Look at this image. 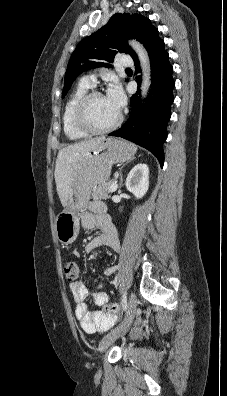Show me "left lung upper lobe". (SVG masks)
I'll use <instances>...</instances> for the list:
<instances>
[{
	"mask_svg": "<svg viewBox=\"0 0 227 396\" xmlns=\"http://www.w3.org/2000/svg\"><path fill=\"white\" fill-rule=\"evenodd\" d=\"M128 38L140 41L147 49L151 42L159 39L158 29L140 14H114L105 26L77 45L65 73L62 97L82 72L99 66L109 67L102 61L113 62L117 53H127L135 58V52L127 43Z\"/></svg>",
	"mask_w": 227,
	"mask_h": 396,
	"instance_id": "obj_1",
	"label": "left lung upper lobe"
}]
</instances>
